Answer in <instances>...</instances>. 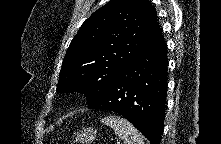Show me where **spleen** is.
Segmentation results:
<instances>
[{"instance_id":"1","label":"spleen","mask_w":221,"mask_h":144,"mask_svg":"<svg viewBox=\"0 0 221 144\" xmlns=\"http://www.w3.org/2000/svg\"><path fill=\"white\" fill-rule=\"evenodd\" d=\"M109 125L123 139L124 144H144L142 134L126 119L120 116H108L101 120Z\"/></svg>"}]
</instances>
